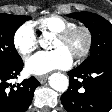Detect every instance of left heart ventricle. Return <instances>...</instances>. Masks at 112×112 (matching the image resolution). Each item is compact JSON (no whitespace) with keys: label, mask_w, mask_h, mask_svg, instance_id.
<instances>
[{"label":"left heart ventricle","mask_w":112,"mask_h":112,"mask_svg":"<svg viewBox=\"0 0 112 112\" xmlns=\"http://www.w3.org/2000/svg\"><path fill=\"white\" fill-rule=\"evenodd\" d=\"M85 44V37L82 33H77L73 37H71L67 41L60 40L59 38H55L52 48H64L67 50L71 56H74L76 53H78Z\"/></svg>","instance_id":"b2bd125f"}]
</instances>
